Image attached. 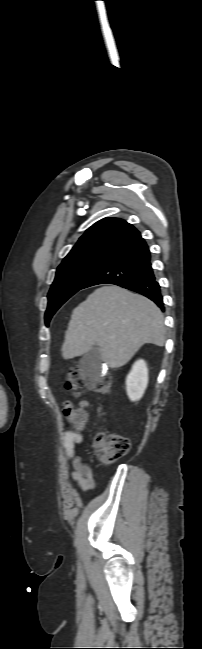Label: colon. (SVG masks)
<instances>
[{"label": "colon", "mask_w": 202, "mask_h": 649, "mask_svg": "<svg viewBox=\"0 0 202 649\" xmlns=\"http://www.w3.org/2000/svg\"><path fill=\"white\" fill-rule=\"evenodd\" d=\"M66 389L78 392L84 388L98 394L107 395L111 392L112 379L108 375L97 379H87L78 370L68 372L65 380ZM63 413L78 430H82L88 421V412L85 405L75 406L71 401L63 402ZM94 453L104 464H111L125 456L130 449V441L119 434L99 432L93 440Z\"/></svg>", "instance_id": "5ec220e1"}]
</instances>
